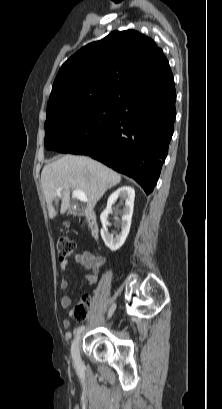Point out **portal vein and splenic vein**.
I'll list each match as a JSON object with an SVG mask.
<instances>
[{"mask_svg":"<svg viewBox=\"0 0 222 409\" xmlns=\"http://www.w3.org/2000/svg\"><path fill=\"white\" fill-rule=\"evenodd\" d=\"M58 191H61V188L58 189ZM73 196L77 198L78 200L82 202H88V198L86 194L83 191L80 190H73Z\"/></svg>","mask_w":222,"mask_h":409,"instance_id":"18ae733b","label":"portal vein and splenic vein"}]
</instances>
